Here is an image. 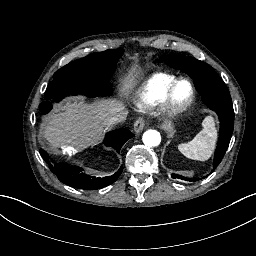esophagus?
<instances>
[{
	"label": "esophagus",
	"mask_w": 256,
	"mask_h": 256,
	"mask_svg": "<svg viewBox=\"0 0 256 256\" xmlns=\"http://www.w3.org/2000/svg\"><path fill=\"white\" fill-rule=\"evenodd\" d=\"M145 127V123L142 119H138L134 123V131L140 133Z\"/></svg>",
	"instance_id": "34e87169"
}]
</instances>
